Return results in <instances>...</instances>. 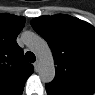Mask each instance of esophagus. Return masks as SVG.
I'll list each match as a JSON object with an SVG mask.
<instances>
[{"label": "esophagus", "instance_id": "34e87169", "mask_svg": "<svg viewBox=\"0 0 95 95\" xmlns=\"http://www.w3.org/2000/svg\"><path fill=\"white\" fill-rule=\"evenodd\" d=\"M38 68H39V61L37 60V61L34 63V69H35V71H38Z\"/></svg>", "mask_w": 95, "mask_h": 95}]
</instances>
